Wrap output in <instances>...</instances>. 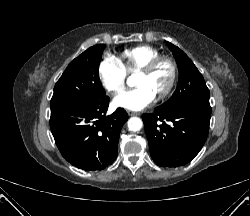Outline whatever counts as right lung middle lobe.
<instances>
[{"label": "right lung middle lobe", "instance_id": "dd1d6c3e", "mask_svg": "<svg viewBox=\"0 0 250 216\" xmlns=\"http://www.w3.org/2000/svg\"><path fill=\"white\" fill-rule=\"evenodd\" d=\"M105 47L104 44L92 46L68 65L54 87L50 102L51 114L76 104L94 102L106 96L98 73Z\"/></svg>", "mask_w": 250, "mask_h": 216}]
</instances>
